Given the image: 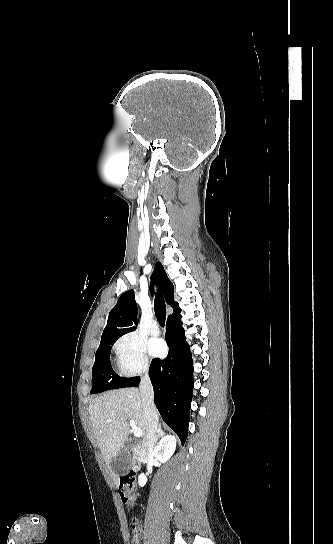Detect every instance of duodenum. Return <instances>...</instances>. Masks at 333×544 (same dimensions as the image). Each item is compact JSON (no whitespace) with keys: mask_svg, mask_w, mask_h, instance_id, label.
Listing matches in <instances>:
<instances>
[{"mask_svg":"<svg viewBox=\"0 0 333 544\" xmlns=\"http://www.w3.org/2000/svg\"><path fill=\"white\" fill-rule=\"evenodd\" d=\"M150 449L143 446H135L132 454V468L136 472L145 464L150 456Z\"/></svg>","mask_w":333,"mask_h":544,"instance_id":"duodenum-1","label":"duodenum"}]
</instances>
